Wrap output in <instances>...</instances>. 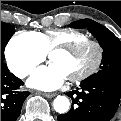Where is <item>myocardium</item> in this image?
Listing matches in <instances>:
<instances>
[{
    "label": "myocardium",
    "instance_id": "1",
    "mask_svg": "<svg viewBox=\"0 0 121 121\" xmlns=\"http://www.w3.org/2000/svg\"><path fill=\"white\" fill-rule=\"evenodd\" d=\"M89 47L95 50L96 55L94 61L80 73L67 78L69 82L77 83L93 76L100 69L104 59V47L99 41L85 39L70 45H58L51 49L49 56L53 52H64L71 55Z\"/></svg>",
    "mask_w": 121,
    "mask_h": 121
}]
</instances>
